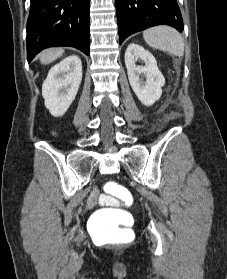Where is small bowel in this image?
<instances>
[{"instance_id":"obj_1","label":"small bowel","mask_w":227,"mask_h":279,"mask_svg":"<svg viewBox=\"0 0 227 279\" xmlns=\"http://www.w3.org/2000/svg\"><path fill=\"white\" fill-rule=\"evenodd\" d=\"M97 203L99 204H108V205H120L119 202L111 196H104L100 194L98 189H93L88 200L87 208H93Z\"/></svg>"}]
</instances>
